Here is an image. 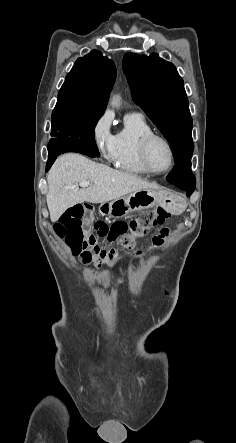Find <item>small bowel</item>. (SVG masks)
Instances as JSON below:
<instances>
[{"instance_id": "c3829d8e", "label": "small bowel", "mask_w": 236, "mask_h": 443, "mask_svg": "<svg viewBox=\"0 0 236 443\" xmlns=\"http://www.w3.org/2000/svg\"><path fill=\"white\" fill-rule=\"evenodd\" d=\"M162 241H163L162 240V236H155L154 239H153V244L158 246V245H160L162 243Z\"/></svg>"}]
</instances>
